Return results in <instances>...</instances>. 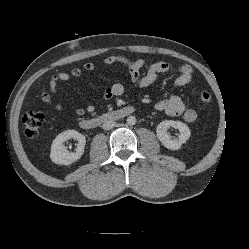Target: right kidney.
Listing matches in <instances>:
<instances>
[{
    "mask_svg": "<svg viewBox=\"0 0 249 249\" xmlns=\"http://www.w3.org/2000/svg\"><path fill=\"white\" fill-rule=\"evenodd\" d=\"M75 139L78 141L75 152H69L64 145L69 139ZM86 144V138L76 130H66L56 136L52 145L50 158L55 164L70 165L81 158L84 153V147Z\"/></svg>",
    "mask_w": 249,
    "mask_h": 249,
    "instance_id": "1",
    "label": "right kidney"
}]
</instances>
